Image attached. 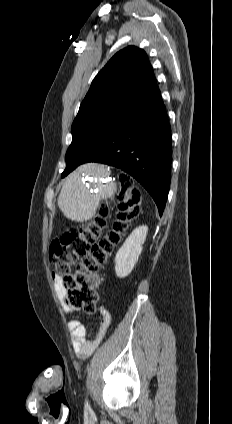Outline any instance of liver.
<instances>
[{"instance_id":"6515ba94","label":"liver","mask_w":232,"mask_h":424,"mask_svg":"<svg viewBox=\"0 0 232 424\" xmlns=\"http://www.w3.org/2000/svg\"><path fill=\"white\" fill-rule=\"evenodd\" d=\"M84 173L94 178L89 185L82 180ZM107 175V168L98 163L81 165L68 175L58 197V206L64 216L77 222L90 220L95 215L100 201L112 198L116 193L114 182L103 184L102 179Z\"/></svg>"}]
</instances>
